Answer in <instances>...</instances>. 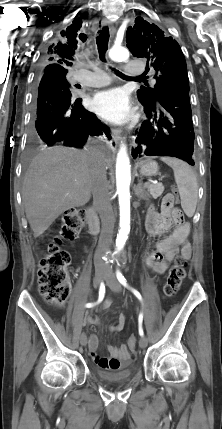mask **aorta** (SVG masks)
Here are the masks:
<instances>
[{
    "mask_svg": "<svg viewBox=\"0 0 222 429\" xmlns=\"http://www.w3.org/2000/svg\"><path fill=\"white\" fill-rule=\"evenodd\" d=\"M113 61H127L129 51L121 46H114L109 51ZM130 182L131 166L126 145L122 144L116 161V186L120 206V229L116 239L117 250H121L130 232Z\"/></svg>",
    "mask_w": 222,
    "mask_h": 429,
    "instance_id": "762f6f07",
    "label": "aorta"
}]
</instances>
